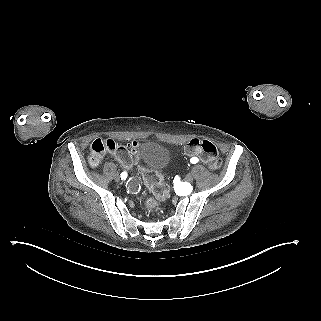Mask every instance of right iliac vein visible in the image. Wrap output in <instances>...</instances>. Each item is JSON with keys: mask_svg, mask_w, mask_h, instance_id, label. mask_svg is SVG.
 Masks as SVG:
<instances>
[{"mask_svg": "<svg viewBox=\"0 0 321 321\" xmlns=\"http://www.w3.org/2000/svg\"><path fill=\"white\" fill-rule=\"evenodd\" d=\"M114 179H115V181L120 182L121 179H120V176L118 173L114 174Z\"/></svg>", "mask_w": 321, "mask_h": 321, "instance_id": "1", "label": "right iliac vein"}]
</instances>
